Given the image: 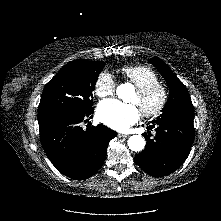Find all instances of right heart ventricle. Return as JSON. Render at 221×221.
<instances>
[{
    "label": "right heart ventricle",
    "mask_w": 221,
    "mask_h": 221,
    "mask_svg": "<svg viewBox=\"0 0 221 221\" xmlns=\"http://www.w3.org/2000/svg\"><path fill=\"white\" fill-rule=\"evenodd\" d=\"M121 73L136 88L159 82L156 72L146 65H125L121 68Z\"/></svg>",
    "instance_id": "obj_1"
}]
</instances>
